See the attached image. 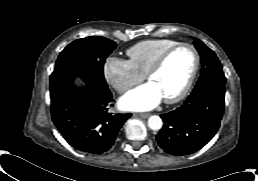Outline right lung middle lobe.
<instances>
[{
    "label": "right lung middle lobe",
    "mask_w": 258,
    "mask_h": 181,
    "mask_svg": "<svg viewBox=\"0 0 258 181\" xmlns=\"http://www.w3.org/2000/svg\"><path fill=\"white\" fill-rule=\"evenodd\" d=\"M115 48L114 41L100 36L77 39L60 53L55 69L69 71L95 86L107 87L103 66Z\"/></svg>",
    "instance_id": "right-lung-middle-lobe-1"
}]
</instances>
